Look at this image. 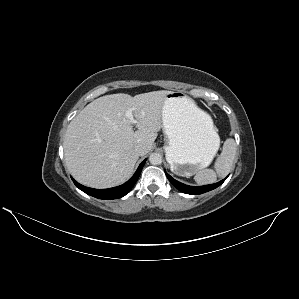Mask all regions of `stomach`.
<instances>
[{"label":"stomach","instance_id":"stomach-1","mask_svg":"<svg viewBox=\"0 0 299 299\" xmlns=\"http://www.w3.org/2000/svg\"><path fill=\"white\" fill-rule=\"evenodd\" d=\"M162 130L171 171L190 177L207 167L216 155L220 138L211 117L181 92H170L162 105Z\"/></svg>","mask_w":299,"mask_h":299}]
</instances>
